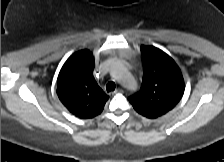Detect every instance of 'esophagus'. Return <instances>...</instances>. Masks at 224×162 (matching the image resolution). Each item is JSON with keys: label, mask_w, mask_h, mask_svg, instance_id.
<instances>
[{"label": "esophagus", "mask_w": 224, "mask_h": 162, "mask_svg": "<svg viewBox=\"0 0 224 162\" xmlns=\"http://www.w3.org/2000/svg\"><path fill=\"white\" fill-rule=\"evenodd\" d=\"M122 92H123L122 89H117V90L111 92V93H110V96H114L115 94H117V93H122Z\"/></svg>", "instance_id": "1"}]
</instances>
